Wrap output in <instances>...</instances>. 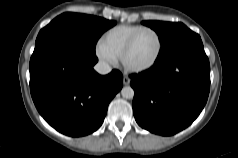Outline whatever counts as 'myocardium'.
<instances>
[{
	"mask_svg": "<svg viewBox=\"0 0 238 158\" xmlns=\"http://www.w3.org/2000/svg\"><path fill=\"white\" fill-rule=\"evenodd\" d=\"M146 31L152 32L156 36L157 41H158L157 53H156L155 57L153 58V60L150 63H148L144 66H140V67H133V66H131L127 63V57L129 55V53L131 52V50H132L137 38L139 37V35L143 32H146ZM162 51H163V41H162V37L159 34V32L157 30L151 28V27H142L141 29L137 30L130 37V39L126 43V45H125V47H124V49L121 53L120 59H121V63L123 65V67L127 71L132 72V73H140V72H145L147 70H150L152 67H154L156 65V63L158 62V60L160 59Z\"/></svg>",
	"mask_w": 238,
	"mask_h": 158,
	"instance_id": "obj_1",
	"label": "myocardium"
}]
</instances>
